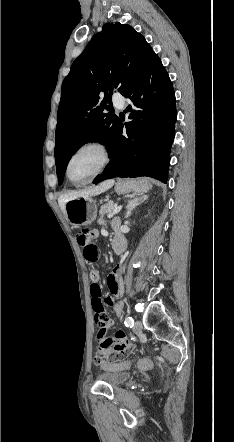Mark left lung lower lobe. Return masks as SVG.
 Wrapping results in <instances>:
<instances>
[{
    "mask_svg": "<svg viewBox=\"0 0 234 442\" xmlns=\"http://www.w3.org/2000/svg\"><path fill=\"white\" fill-rule=\"evenodd\" d=\"M130 102V122L122 135L119 121L110 150L112 160L93 183L114 177L149 176L166 183L170 149L174 140L176 99L171 80L157 54L153 53L138 77L123 91Z\"/></svg>",
    "mask_w": 234,
    "mask_h": 442,
    "instance_id": "obj_1",
    "label": "left lung lower lobe"
}]
</instances>
